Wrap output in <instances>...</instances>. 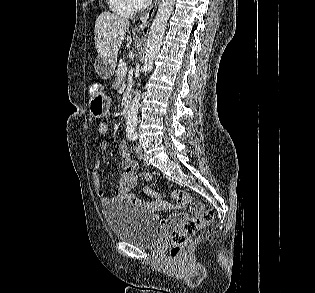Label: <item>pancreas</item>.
<instances>
[{
  "instance_id": "1",
  "label": "pancreas",
  "mask_w": 315,
  "mask_h": 293,
  "mask_svg": "<svg viewBox=\"0 0 315 293\" xmlns=\"http://www.w3.org/2000/svg\"><path fill=\"white\" fill-rule=\"evenodd\" d=\"M125 66L124 62H120L118 67H117V71H116V82H115V86L119 87L122 84L123 81V77L121 75V69Z\"/></svg>"
}]
</instances>
